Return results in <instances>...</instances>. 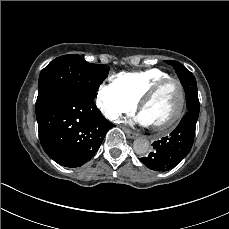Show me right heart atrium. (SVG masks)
<instances>
[{
    "label": "right heart atrium",
    "instance_id": "right-heart-atrium-1",
    "mask_svg": "<svg viewBox=\"0 0 229 229\" xmlns=\"http://www.w3.org/2000/svg\"><path fill=\"white\" fill-rule=\"evenodd\" d=\"M95 103L100 112L112 122H116L123 113H132L138 105L114 80L99 86Z\"/></svg>",
    "mask_w": 229,
    "mask_h": 229
}]
</instances>
